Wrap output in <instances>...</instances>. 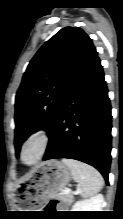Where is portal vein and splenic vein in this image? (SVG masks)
<instances>
[{
	"mask_svg": "<svg viewBox=\"0 0 123 219\" xmlns=\"http://www.w3.org/2000/svg\"><path fill=\"white\" fill-rule=\"evenodd\" d=\"M70 191H71L70 189L66 188V189L63 191V193H64V194H69ZM77 193H78V192H76L75 194H77Z\"/></svg>",
	"mask_w": 123,
	"mask_h": 219,
	"instance_id": "18ae733b",
	"label": "portal vein and splenic vein"
}]
</instances>
